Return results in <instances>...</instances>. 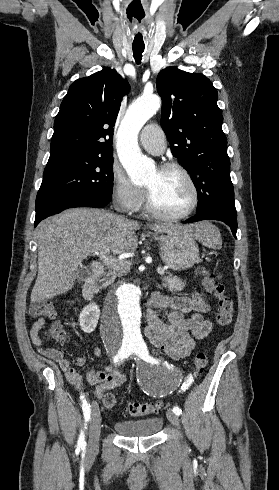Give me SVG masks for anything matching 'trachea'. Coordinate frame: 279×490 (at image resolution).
<instances>
[{
  "label": "trachea",
  "instance_id": "3493384b",
  "mask_svg": "<svg viewBox=\"0 0 279 490\" xmlns=\"http://www.w3.org/2000/svg\"><path fill=\"white\" fill-rule=\"evenodd\" d=\"M133 56L135 58L136 63H140L142 60V53L144 51V47H136L133 46Z\"/></svg>",
  "mask_w": 279,
  "mask_h": 490
}]
</instances>
